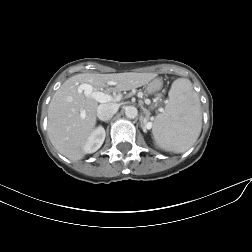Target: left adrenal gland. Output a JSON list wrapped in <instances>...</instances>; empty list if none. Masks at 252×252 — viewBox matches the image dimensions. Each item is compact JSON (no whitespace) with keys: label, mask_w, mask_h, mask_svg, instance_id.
<instances>
[{"label":"left adrenal gland","mask_w":252,"mask_h":252,"mask_svg":"<svg viewBox=\"0 0 252 252\" xmlns=\"http://www.w3.org/2000/svg\"><path fill=\"white\" fill-rule=\"evenodd\" d=\"M146 125H147V118L145 117L143 119V123L141 122V127H142L144 132H146Z\"/></svg>","instance_id":"a2214340"}]
</instances>
